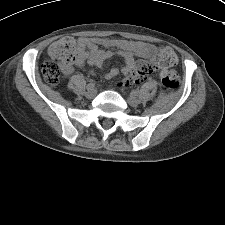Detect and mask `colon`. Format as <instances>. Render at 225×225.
I'll return each instance as SVG.
<instances>
[{
  "label": "colon",
  "mask_w": 225,
  "mask_h": 225,
  "mask_svg": "<svg viewBox=\"0 0 225 225\" xmlns=\"http://www.w3.org/2000/svg\"><path fill=\"white\" fill-rule=\"evenodd\" d=\"M76 50L74 41L71 38H63L55 42L49 50V59L42 66V73L46 82L57 86L60 80V67L76 63ZM178 63L177 54L170 48L163 49L158 57L157 64L142 61L136 70L129 77L124 78L118 84L119 88L126 90L133 85L140 84L148 77L159 73L162 85L166 90H175L180 85L177 74L170 71V68Z\"/></svg>",
  "instance_id": "1"
}]
</instances>
